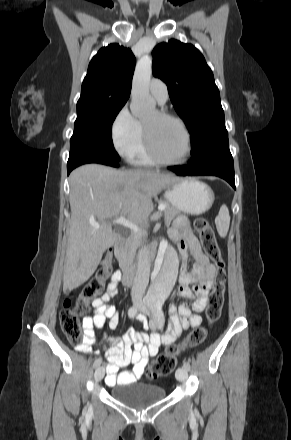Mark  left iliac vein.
Returning <instances> with one entry per match:
<instances>
[{"mask_svg": "<svg viewBox=\"0 0 291 440\" xmlns=\"http://www.w3.org/2000/svg\"><path fill=\"white\" fill-rule=\"evenodd\" d=\"M139 309H140V311H141L142 313H144V314H146V315H149V314H150L149 310L146 309L145 307H140ZM187 376H188V370H187L186 368H184V367H179V368L176 370L175 377H176V379H177L178 381H180V382H184V381L187 379Z\"/></svg>", "mask_w": 291, "mask_h": 440, "instance_id": "obj_1", "label": "left iliac vein"}]
</instances>
